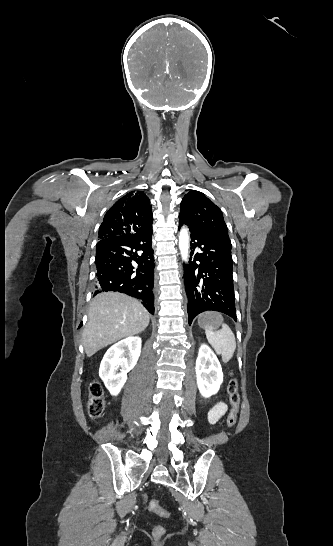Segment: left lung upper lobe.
<instances>
[{
  "label": "left lung upper lobe",
  "mask_w": 333,
  "mask_h": 546,
  "mask_svg": "<svg viewBox=\"0 0 333 546\" xmlns=\"http://www.w3.org/2000/svg\"><path fill=\"white\" fill-rule=\"evenodd\" d=\"M179 220L190 227L228 236L222 211L199 191H189L181 202Z\"/></svg>",
  "instance_id": "obj_1"
}]
</instances>
